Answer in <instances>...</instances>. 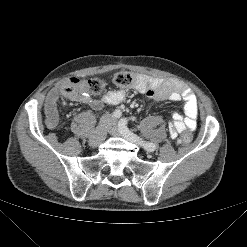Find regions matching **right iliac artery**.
Instances as JSON below:
<instances>
[{"label":"right iliac artery","mask_w":247,"mask_h":247,"mask_svg":"<svg viewBox=\"0 0 247 247\" xmlns=\"http://www.w3.org/2000/svg\"><path fill=\"white\" fill-rule=\"evenodd\" d=\"M121 115H122V112L120 111V110H115L114 112H113V117L114 118H120L121 117Z\"/></svg>","instance_id":"82829eb1"}]
</instances>
